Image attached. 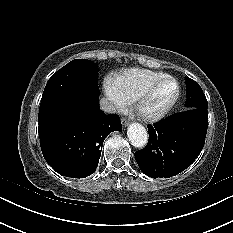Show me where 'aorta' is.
<instances>
[{
  "instance_id": "762f6f07",
  "label": "aorta",
  "mask_w": 233,
  "mask_h": 233,
  "mask_svg": "<svg viewBox=\"0 0 233 233\" xmlns=\"http://www.w3.org/2000/svg\"><path fill=\"white\" fill-rule=\"evenodd\" d=\"M129 141L135 148H143L148 142V133L139 123H132L127 130Z\"/></svg>"
}]
</instances>
